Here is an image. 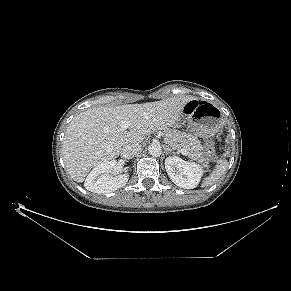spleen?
<instances>
[{
    "label": "spleen",
    "mask_w": 291,
    "mask_h": 291,
    "mask_svg": "<svg viewBox=\"0 0 291 291\" xmlns=\"http://www.w3.org/2000/svg\"><path fill=\"white\" fill-rule=\"evenodd\" d=\"M227 168H228V161L223 160V159L218 160L214 170L211 172V174L207 178H205L202 186L206 187V186H211L212 184H214L224 174Z\"/></svg>",
    "instance_id": "obj_1"
}]
</instances>
